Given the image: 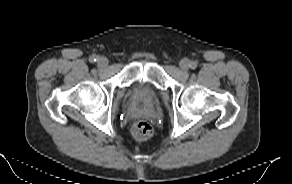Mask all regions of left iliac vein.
<instances>
[{"label": "left iliac vein", "mask_w": 292, "mask_h": 184, "mask_svg": "<svg viewBox=\"0 0 292 184\" xmlns=\"http://www.w3.org/2000/svg\"><path fill=\"white\" fill-rule=\"evenodd\" d=\"M189 60L188 59H182L179 62V67L182 71L186 72L189 69Z\"/></svg>", "instance_id": "obj_1"}]
</instances>
